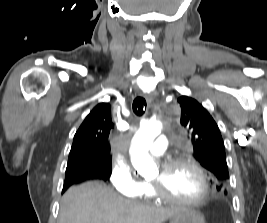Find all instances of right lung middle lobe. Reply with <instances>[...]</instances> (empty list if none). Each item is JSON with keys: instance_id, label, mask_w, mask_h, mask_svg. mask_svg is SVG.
<instances>
[{"instance_id": "dd1d6c3e", "label": "right lung middle lobe", "mask_w": 267, "mask_h": 223, "mask_svg": "<svg viewBox=\"0 0 267 223\" xmlns=\"http://www.w3.org/2000/svg\"><path fill=\"white\" fill-rule=\"evenodd\" d=\"M95 166H96V163H94L93 161H88V160H81L77 162L68 163L66 174H69L73 171H78V170L92 171V169H94ZM106 166H107V170L105 171V173L100 172L102 176L104 177V180H108L111 175V160L107 161Z\"/></svg>"}]
</instances>
